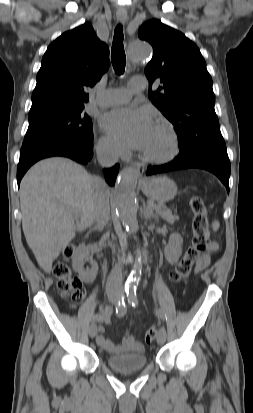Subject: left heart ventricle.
Instances as JSON below:
<instances>
[{
	"label": "left heart ventricle",
	"instance_id": "1",
	"mask_svg": "<svg viewBox=\"0 0 253 413\" xmlns=\"http://www.w3.org/2000/svg\"><path fill=\"white\" fill-rule=\"evenodd\" d=\"M169 149V140L166 133L156 124L153 126L150 137L143 150L155 154L162 155Z\"/></svg>",
	"mask_w": 253,
	"mask_h": 413
}]
</instances>
